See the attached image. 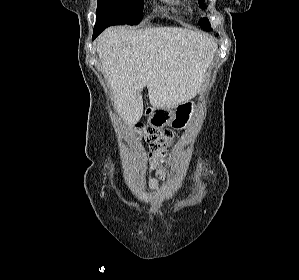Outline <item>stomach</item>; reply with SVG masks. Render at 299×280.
I'll use <instances>...</instances> for the list:
<instances>
[{"mask_svg": "<svg viewBox=\"0 0 299 280\" xmlns=\"http://www.w3.org/2000/svg\"><path fill=\"white\" fill-rule=\"evenodd\" d=\"M193 115L191 103L185 102L172 108H150L148 122L157 129L171 125L174 128H184L188 125Z\"/></svg>", "mask_w": 299, "mask_h": 280, "instance_id": "1", "label": "stomach"}]
</instances>
